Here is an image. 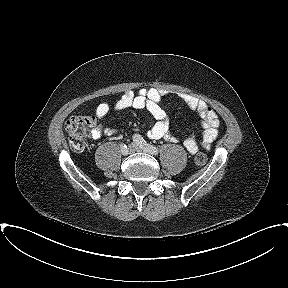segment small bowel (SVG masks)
Returning a JSON list of instances; mask_svg holds the SVG:
<instances>
[{
  "instance_id": "obj_1",
  "label": "small bowel",
  "mask_w": 288,
  "mask_h": 288,
  "mask_svg": "<svg viewBox=\"0 0 288 288\" xmlns=\"http://www.w3.org/2000/svg\"><path fill=\"white\" fill-rule=\"evenodd\" d=\"M166 94L165 90L158 88H142L137 92L126 90L122 96L111 106L103 102L95 110L98 118H104L108 115L111 108L116 111H122L128 108L146 109L155 119L156 123L147 132L151 139H165L170 142H178V138L170 131L169 114L162 108L161 101ZM181 99L193 111L201 117L203 132L200 137L191 134L184 140V146L190 154H195L201 146L208 149L218 137L219 119L215 111L204 101L189 95L182 94ZM118 132L117 129L111 128L104 124L98 125L93 129L91 136L95 139L101 136H111Z\"/></svg>"
}]
</instances>
